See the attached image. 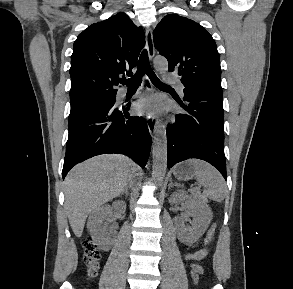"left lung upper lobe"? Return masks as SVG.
<instances>
[{
	"label": "left lung upper lobe",
	"mask_w": 293,
	"mask_h": 289,
	"mask_svg": "<svg viewBox=\"0 0 293 289\" xmlns=\"http://www.w3.org/2000/svg\"><path fill=\"white\" fill-rule=\"evenodd\" d=\"M154 45L176 70L184 91L222 97L220 56L212 36L198 23L177 14L166 15L153 31Z\"/></svg>",
	"instance_id": "obj_1"
}]
</instances>
